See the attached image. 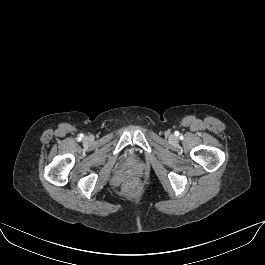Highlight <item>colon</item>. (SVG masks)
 Instances as JSON below:
<instances>
[{
	"label": "colon",
	"mask_w": 265,
	"mask_h": 265,
	"mask_svg": "<svg viewBox=\"0 0 265 265\" xmlns=\"http://www.w3.org/2000/svg\"><path fill=\"white\" fill-rule=\"evenodd\" d=\"M125 189L128 192H134L137 189V183L136 182H130L125 186Z\"/></svg>",
	"instance_id": "1"
}]
</instances>
